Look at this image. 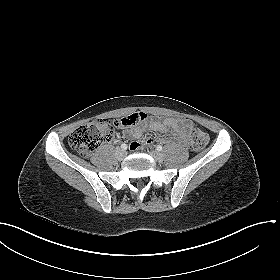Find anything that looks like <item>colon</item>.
Returning <instances> with one entry per match:
<instances>
[{
	"mask_svg": "<svg viewBox=\"0 0 280 280\" xmlns=\"http://www.w3.org/2000/svg\"><path fill=\"white\" fill-rule=\"evenodd\" d=\"M145 119L143 114H133L120 122L108 119H97L75 129L68 140L69 146L84 157L90 156L102 143L111 141L116 135L118 127H131ZM190 146L194 150H201L208 143V135L199 128H192L189 132ZM139 142H131V149L136 150Z\"/></svg>",
	"mask_w": 280,
	"mask_h": 280,
	"instance_id": "1",
	"label": "colon"
}]
</instances>
